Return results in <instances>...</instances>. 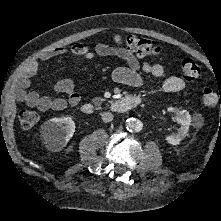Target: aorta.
Instances as JSON below:
<instances>
[{
  "instance_id": "aorta-1",
  "label": "aorta",
  "mask_w": 221,
  "mask_h": 221,
  "mask_svg": "<svg viewBox=\"0 0 221 221\" xmlns=\"http://www.w3.org/2000/svg\"><path fill=\"white\" fill-rule=\"evenodd\" d=\"M126 129L130 132H139L143 128V124L136 118H129L126 120Z\"/></svg>"
}]
</instances>
